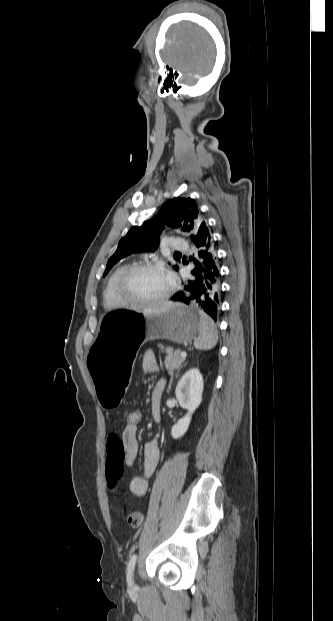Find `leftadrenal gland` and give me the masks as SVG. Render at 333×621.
<instances>
[{
	"instance_id": "1",
	"label": "left adrenal gland",
	"mask_w": 333,
	"mask_h": 621,
	"mask_svg": "<svg viewBox=\"0 0 333 621\" xmlns=\"http://www.w3.org/2000/svg\"><path fill=\"white\" fill-rule=\"evenodd\" d=\"M178 372H179V370L177 371L176 375L178 374ZM172 378H173V376L171 377V380H172Z\"/></svg>"
}]
</instances>
